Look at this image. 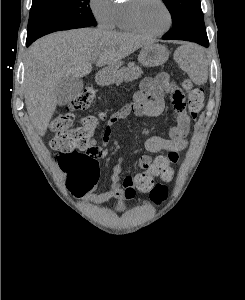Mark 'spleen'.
<instances>
[{"label":"spleen","mask_w":245,"mask_h":300,"mask_svg":"<svg viewBox=\"0 0 245 300\" xmlns=\"http://www.w3.org/2000/svg\"><path fill=\"white\" fill-rule=\"evenodd\" d=\"M183 52L185 56L180 61L182 69L195 84H205L208 78V67L203 51L196 46H189Z\"/></svg>","instance_id":"obj_1"}]
</instances>
